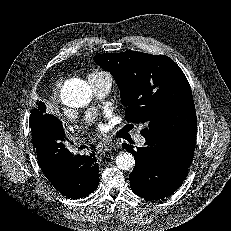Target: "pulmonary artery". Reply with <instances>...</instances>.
I'll use <instances>...</instances> for the list:
<instances>
[{"mask_svg":"<svg viewBox=\"0 0 231 231\" xmlns=\"http://www.w3.org/2000/svg\"><path fill=\"white\" fill-rule=\"evenodd\" d=\"M90 83L98 98L107 95L112 86V80L110 78H92L90 79ZM135 140L139 145H142L145 142V138L140 133L135 135Z\"/></svg>","mask_w":231,"mask_h":231,"instance_id":"1","label":"pulmonary artery"}]
</instances>
